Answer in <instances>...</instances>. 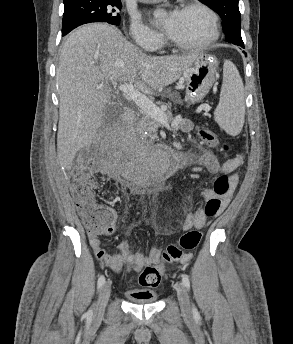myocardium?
I'll return each instance as SVG.
<instances>
[{"instance_id": "1", "label": "myocardium", "mask_w": 293, "mask_h": 344, "mask_svg": "<svg viewBox=\"0 0 293 344\" xmlns=\"http://www.w3.org/2000/svg\"><path fill=\"white\" fill-rule=\"evenodd\" d=\"M193 9L201 10L208 16L210 20V25H211L209 36L205 40L200 41V42L185 43V42L174 40L169 35H167L166 41L171 47H174L175 49H179V50H201V49L210 47L218 40L220 36L219 18L216 12L212 8H210L208 5L202 2H199L197 0H193L181 5L177 9V12H183V11H188V10H193Z\"/></svg>"}]
</instances>
